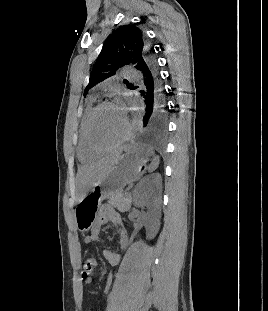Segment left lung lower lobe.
<instances>
[{"instance_id": "left-lung-lower-lobe-1", "label": "left lung lower lobe", "mask_w": 268, "mask_h": 311, "mask_svg": "<svg viewBox=\"0 0 268 311\" xmlns=\"http://www.w3.org/2000/svg\"><path fill=\"white\" fill-rule=\"evenodd\" d=\"M137 70L141 75V93L146 105L140 125L142 132H137V139L156 143L167 141L168 132H165L167 107L164 105L162 84L155 57L147 53L146 59L139 63Z\"/></svg>"}]
</instances>
